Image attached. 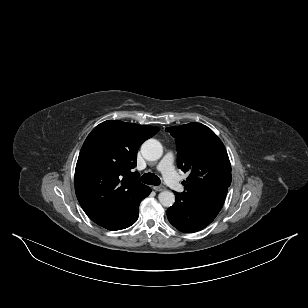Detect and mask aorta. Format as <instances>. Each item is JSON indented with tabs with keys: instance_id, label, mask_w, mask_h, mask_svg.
I'll use <instances>...</instances> for the list:
<instances>
[{
	"instance_id": "obj_1",
	"label": "aorta",
	"mask_w": 308,
	"mask_h": 308,
	"mask_svg": "<svg viewBox=\"0 0 308 308\" xmlns=\"http://www.w3.org/2000/svg\"><path fill=\"white\" fill-rule=\"evenodd\" d=\"M141 153L146 160L156 161L161 158L163 148L156 139H148L142 144ZM158 199L164 207H170L175 202V195L173 192L165 190L159 193Z\"/></svg>"
}]
</instances>
